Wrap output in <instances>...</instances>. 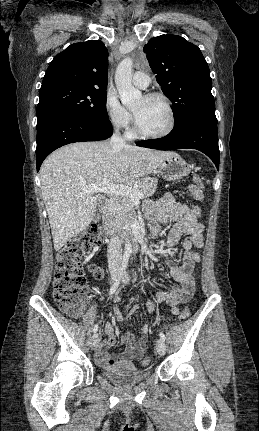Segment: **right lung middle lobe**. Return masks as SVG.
Masks as SVG:
<instances>
[{
  "instance_id": "1",
  "label": "right lung middle lobe",
  "mask_w": 259,
  "mask_h": 431,
  "mask_svg": "<svg viewBox=\"0 0 259 431\" xmlns=\"http://www.w3.org/2000/svg\"><path fill=\"white\" fill-rule=\"evenodd\" d=\"M37 119L71 113L96 120H109L106 111V89L78 87L69 84H52L39 93Z\"/></svg>"
}]
</instances>
